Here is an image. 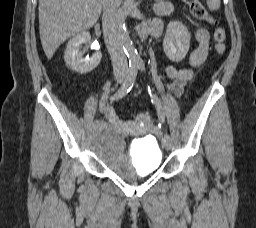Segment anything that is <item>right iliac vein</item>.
I'll use <instances>...</instances> for the list:
<instances>
[{"label":"right iliac vein","mask_w":256,"mask_h":228,"mask_svg":"<svg viewBox=\"0 0 256 228\" xmlns=\"http://www.w3.org/2000/svg\"><path fill=\"white\" fill-rule=\"evenodd\" d=\"M123 80H124V77H123V76H118V77H117V82H118V83L123 82ZM92 130H93V131H98V130H99V127H98V126H93V127H92Z\"/></svg>","instance_id":"right-iliac-vein-1"}]
</instances>
